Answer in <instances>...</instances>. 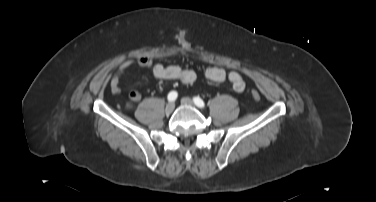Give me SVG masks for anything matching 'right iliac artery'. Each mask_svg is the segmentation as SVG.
<instances>
[{
	"instance_id": "obj_1",
	"label": "right iliac artery",
	"mask_w": 376,
	"mask_h": 202,
	"mask_svg": "<svg viewBox=\"0 0 376 202\" xmlns=\"http://www.w3.org/2000/svg\"><path fill=\"white\" fill-rule=\"evenodd\" d=\"M177 97H178V93L176 91H171L168 94L167 99H168V101L173 102L177 99Z\"/></svg>"
}]
</instances>
